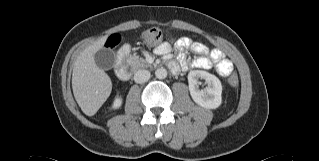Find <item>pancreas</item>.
<instances>
[{
    "instance_id": "pancreas-1",
    "label": "pancreas",
    "mask_w": 319,
    "mask_h": 161,
    "mask_svg": "<svg viewBox=\"0 0 319 161\" xmlns=\"http://www.w3.org/2000/svg\"><path fill=\"white\" fill-rule=\"evenodd\" d=\"M127 60L134 69L150 67L145 59L139 57L136 54L130 55Z\"/></svg>"
}]
</instances>
